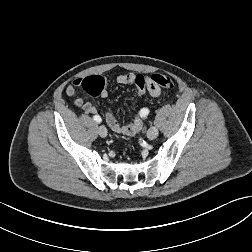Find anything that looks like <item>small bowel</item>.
<instances>
[{"label": "small bowel", "instance_id": "obj_1", "mask_svg": "<svg viewBox=\"0 0 252 252\" xmlns=\"http://www.w3.org/2000/svg\"><path fill=\"white\" fill-rule=\"evenodd\" d=\"M137 75L133 73L121 74L117 77V81L121 84H135ZM147 81V89L151 96L158 97L161 90L158 85L153 83L149 77H145ZM82 78H76L71 84L66 87V94L74 99L75 106L83 109L86 114H96V108L90 103L85 102L81 97L77 96L76 89L81 87ZM101 96L106 98L108 96V90L105 88ZM106 122L110 129L116 133L132 136L142 128V122L137 117L127 124H120L116 117L111 112H106Z\"/></svg>", "mask_w": 252, "mask_h": 252}]
</instances>
